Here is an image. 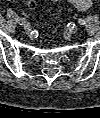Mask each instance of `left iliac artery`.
I'll list each match as a JSON object with an SVG mask.
<instances>
[{
	"label": "left iliac artery",
	"instance_id": "obj_1",
	"mask_svg": "<svg viewBox=\"0 0 100 118\" xmlns=\"http://www.w3.org/2000/svg\"><path fill=\"white\" fill-rule=\"evenodd\" d=\"M78 23H79V25H85L86 24L84 19H79Z\"/></svg>",
	"mask_w": 100,
	"mask_h": 118
}]
</instances>
